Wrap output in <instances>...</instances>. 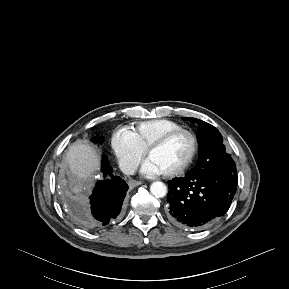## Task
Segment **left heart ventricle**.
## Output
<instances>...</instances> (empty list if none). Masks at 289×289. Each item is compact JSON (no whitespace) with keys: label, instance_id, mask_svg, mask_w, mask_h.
<instances>
[{"label":"left heart ventricle","instance_id":"obj_1","mask_svg":"<svg viewBox=\"0 0 289 289\" xmlns=\"http://www.w3.org/2000/svg\"><path fill=\"white\" fill-rule=\"evenodd\" d=\"M192 150V141L187 135H179L161 149L153 152L149 160L162 173L170 172L181 166L189 157Z\"/></svg>","mask_w":289,"mask_h":289}]
</instances>
